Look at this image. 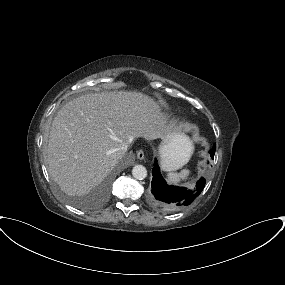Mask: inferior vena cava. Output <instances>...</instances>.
Masks as SVG:
<instances>
[{"label":"inferior vena cava","instance_id":"1","mask_svg":"<svg viewBox=\"0 0 285 285\" xmlns=\"http://www.w3.org/2000/svg\"><path fill=\"white\" fill-rule=\"evenodd\" d=\"M127 148H128V145H127V144H124V145L121 146L120 151H121V153H122L123 155H124L125 152L127 151Z\"/></svg>","mask_w":285,"mask_h":285}]
</instances>
